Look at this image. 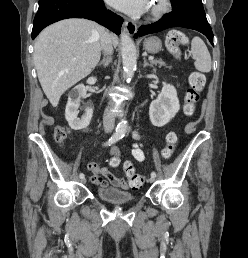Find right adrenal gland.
Wrapping results in <instances>:
<instances>
[{
  "label": "right adrenal gland",
  "mask_w": 248,
  "mask_h": 258,
  "mask_svg": "<svg viewBox=\"0 0 248 258\" xmlns=\"http://www.w3.org/2000/svg\"><path fill=\"white\" fill-rule=\"evenodd\" d=\"M111 61H112L111 57H104L102 59V61H100L97 65L98 66H103L104 68H106Z\"/></svg>",
  "instance_id": "obj_1"
}]
</instances>
